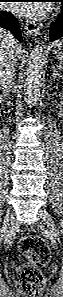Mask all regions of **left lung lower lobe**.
<instances>
[{"label": "left lung lower lobe", "instance_id": "obj_1", "mask_svg": "<svg viewBox=\"0 0 63 297\" xmlns=\"http://www.w3.org/2000/svg\"><path fill=\"white\" fill-rule=\"evenodd\" d=\"M63 2V1H60ZM63 37V7L62 16L52 23L50 27V41L53 42L59 38Z\"/></svg>", "mask_w": 63, "mask_h": 297}]
</instances>
